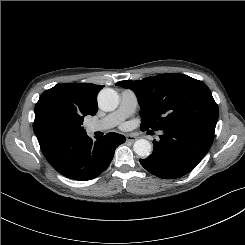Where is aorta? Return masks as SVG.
<instances>
[{
	"label": "aorta",
	"instance_id": "762f6f07",
	"mask_svg": "<svg viewBox=\"0 0 245 245\" xmlns=\"http://www.w3.org/2000/svg\"><path fill=\"white\" fill-rule=\"evenodd\" d=\"M98 105L104 111H113L119 104V97L115 90L111 88H104L98 94ZM134 152L141 156L146 157L152 151L150 142L146 139L136 140L133 145Z\"/></svg>",
	"mask_w": 245,
	"mask_h": 245
}]
</instances>
